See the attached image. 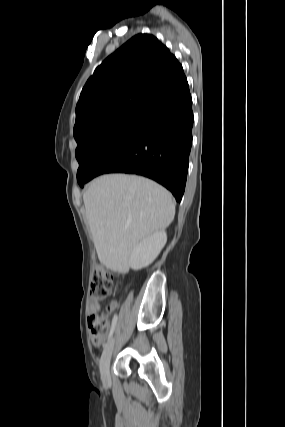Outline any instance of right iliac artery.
<instances>
[{
	"label": "right iliac artery",
	"mask_w": 285,
	"mask_h": 427,
	"mask_svg": "<svg viewBox=\"0 0 285 427\" xmlns=\"http://www.w3.org/2000/svg\"><path fill=\"white\" fill-rule=\"evenodd\" d=\"M115 325H116V320L114 319L112 326H111V329H110V332H109V335H108V340L112 337V335L115 331Z\"/></svg>",
	"instance_id": "1"
}]
</instances>
